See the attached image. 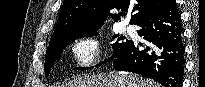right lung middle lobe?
<instances>
[{"instance_id": "dd1d6c3e", "label": "right lung middle lobe", "mask_w": 205, "mask_h": 87, "mask_svg": "<svg viewBox=\"0 0 205 87\" xmlns=\"http://www.w3.org/2000/svg\"><path fill=\"white\" fill-rule=\"evenodd\" d=\"M97 35L96 30L92 31H79V32H74L71 34H68L67 36H64L62 38H59L55 41H53L46 52L45 55V76L47 77L51 71V68L55 61L61 56L63 49L66 48V46L70 43H72L76 38H80L83 36H93ZM119 35H114V38L118 37ZM124 37L118 38V40H124ZM129 40L125 42H115L113 43V48H114V53L111 59L115 56V54L125 45L127 44ZM110 59H107L103 61L101 64L108 62ZM81 69V68H77ZM83 69V68H82Z\"/></svg>"}]
</instances>
